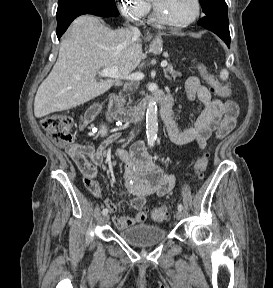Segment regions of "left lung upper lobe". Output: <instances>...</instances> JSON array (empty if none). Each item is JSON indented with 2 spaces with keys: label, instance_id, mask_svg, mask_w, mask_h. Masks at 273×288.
Instances as JSON below:
<instances>
[{
  "label": "left lung upper lobe",
  "instance_id": "5c2ea615",
  "mask_svg": "<svg viewBox=\"0 0 273 288\" xmlns=\"http://www.w3.org/2000/svg\"><path fill=\"white\" fill-rule=\"evenodd\" d=\"M205 16H212L228 11L225 0H199Z\"/></svg>",
  "mask_w": 273,
  "mask_h": 288
}]
</instances>
